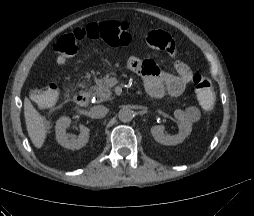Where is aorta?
<instances>
[{
  "label": "aorta",
  "instance_id": "obj_1",
  "mask_svg": "<svg viewBox=\"0 0 254 216\" xmlns=\"http://www.w3.org/2000/svg\"><path fill=\"white\" fill-rule=\"evenodd\" d=\"M118 117L121 122L127 123V122L132 121V119L134 117V113L130 108L124 107V108L120 109V111L118 113Z\"/></svg>",
  "mask_w": 254,
  "mask_h": 216
}]
</instances>
